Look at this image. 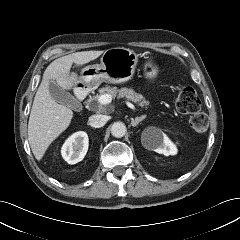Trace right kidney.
I'll use <instances>...</instances> for the list:
<instances>
[{"label":"right kidney","mask_w":240,"mask_h":240,"mask_svg":"<svg viewBox=\"0 0 240 240\" xmlns=\"http://www.w3.org/2000/svg\"><path fill=\"white\" fill-rule=\"evenodd\" d=\"M89 146V139L86 132L79 131L71 135L63 144L61 149L62 157L69 164H76L83 160Z\"/></svg>","instance_id":"1"}]
</instances>
